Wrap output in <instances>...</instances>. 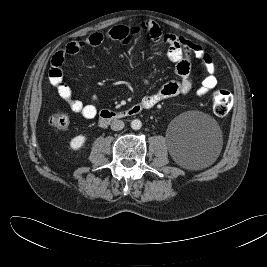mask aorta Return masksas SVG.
<instances>
[{"label":"aorta","instance_id":"obj_1","mask_svg":"<svg viewBox=\"0 0 267 267\" xmlns=\"http://www.w3.org/2000/svg\"><path fill=\"white\" fill-rule=\"evenodd\" d=\"M142 127V122L139 119H134L131 122V128L133 130H139Z\"/></svg>","mask_w":267,"mask_h":267}]
</instances>
